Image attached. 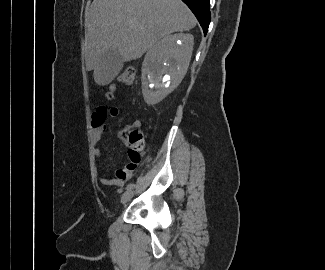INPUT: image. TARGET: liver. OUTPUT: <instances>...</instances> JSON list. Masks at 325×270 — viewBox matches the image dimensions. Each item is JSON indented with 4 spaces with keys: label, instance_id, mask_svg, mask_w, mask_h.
<instances>
[{
    "label": "liver",
    "instance_id": "liver-1",
    "mask_svg": "<svg viewBox=\"0 0 325 270\" xmlns=\"http://www.w3.org/2000/svg\"><path fill=\"white\" fill-rule=\"evenodd\" d=\"M196 18L181 0H93L85 11L86 68L98 85L108 80L97 72L100 58L117 50L123 62L142 57L174 32L189 31Z\"/></svg>",
    "mask_w": 325,
    "mask_h": 270
}]
</instances>
